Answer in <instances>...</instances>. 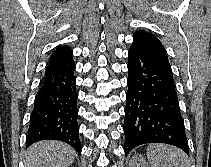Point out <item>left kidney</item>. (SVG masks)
<instances>
[{
	"instance_id": "obj_1",
	"label": "left kidney",
	"mask_w": 211,
	"mask_h": 167,
	"mask_svg": "<svg viewBox=\"0 0 211 167\" xmlns=\"http://www.w3.org/2000/svg\"><path fill=\"white\" fill-rule=\"evenodd\" d=\"M129 167H150L144 160V158L135 154L129 162Z\"/></svg>"
}]
</instances>
